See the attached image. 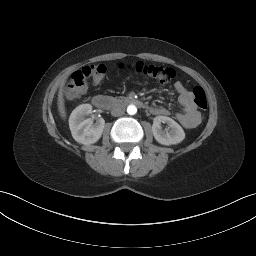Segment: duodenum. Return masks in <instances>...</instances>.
<instances>
[{
    "instance_id": "1",
    "label": "duodenum",
    "mask_w": 256,
    "mask_h": 256,
    "mask_svg": "<svg viewBox=\"0 0 256 256\" xmlns=\"http://www.w3.org/2000/svg\"><path fill=\"white\" fill-rule=\"evenodd\" d=\"M92 103L95 107L100 108V109H107L110 108L113 104L114 101H112L110 98L104 96V95H95L92 98ZM120 104L124 105H137V106H144V103L136 98L129 97V98H124L119 101Z\"/></svg>"
}]
</instances>
